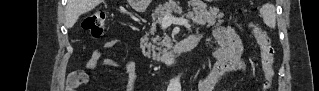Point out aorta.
Segmentation results:
<instances>
[{"mask_svg": "<svg viewBox=\"0 0 319 91\" xmlns=\"http://www.w3.org/2000/svg\"><path fill=\"white\" fill-rule=\"evenodd\" d=\"M169 89L173 91H181V83L179 78H174L170 81Z\"/></svg>", "mask_w": 319, "mask_h": 91, "instance_id": "obj_1", "label": "aorta"}]
</instances>
